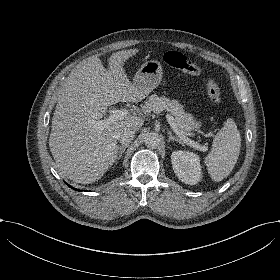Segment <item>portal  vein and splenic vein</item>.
<instances>
[{"mask_svg":"<svg viewBox=\"0 0 280 280\" xmlns=\"http://www.w3.org/2000/svg\"><path fill=\"white\" fill-rule=\"evenodd\" d=\"M132 113V109H128V108H121V109H114L113 110V114L110 116V119L106 120V121H96L95 124L97 126H102L104 125V123L108 122L109 120H119L121 118H124V117H127V116H130ZM166 120L168 121V123L173 126L174 129H176V124L174 122V117L172 114H169V113H166ZM176 132H178L176 130ZM184 141L188 144V146L194 148V149H198L199 151H202V152H207L208 151V148L205 146V145H202V144H199L195 141H192L190 139H185L183 137Z\"/></svg>","mask_w":280,"mask_h":280,"instance_id":"18ae733b","label":"portal vein and splenic vein"}]
</instances>
